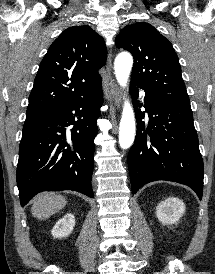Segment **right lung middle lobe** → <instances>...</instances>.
<instances>
[{
  "instance_id": "right-lung-middle-lobe-1",
  "label": "right lung middle lobe",
  "mask_w": 215,
  "mask_h": 274,
  "mask_svg": "<svg viewBox=\"0 0 215 274\" xmlns=\"http://www.w3.org/2000/svg\"><path fill=\"white\" fill-rule=\"evenodd\" d=\"M52 114L51 111H33L26 113V120L23 126V131L35 126L42 120L46 119Z\"/></svg>"
}]
</instances>
